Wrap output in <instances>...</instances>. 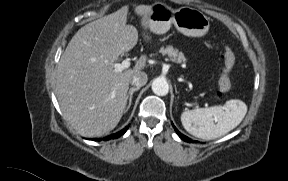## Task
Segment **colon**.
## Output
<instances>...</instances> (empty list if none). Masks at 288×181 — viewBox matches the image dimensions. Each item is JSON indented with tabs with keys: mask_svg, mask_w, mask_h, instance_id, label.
Segmentation results:
<instances>
[{
	"mask_svg": "<svg viewBox=\"0 0 288 181\" xmlns=\"http://www.w3.org/2000/svg\"><path fill=\"white\" fill-rule=\"evenodd\" d=\"M235 68V54L229 48H226L223 53V69L218 76V96L226 95L232 86L231 73Z\"/></svg>",
	"mask_w": 288,
	"mask_h": 181,
	"instance_id": "colon-1",
	"label": "colon"
}]
</instances>
